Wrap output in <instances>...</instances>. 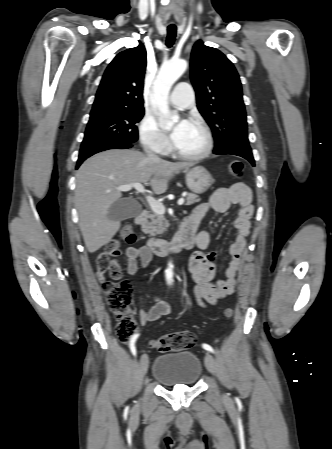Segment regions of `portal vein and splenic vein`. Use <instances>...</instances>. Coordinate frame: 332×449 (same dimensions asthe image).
I'll return each mask as SVG.
<instances>
[{
    "instance_id": "1",
    "label": "portal vein and splenic vein",
    "mask_w": 332,
    "mask_h": 449,
    "mask_svg": "<svg viewBox=\"0 0 332 449\" xmlns=\"http://www.w3.org/2000/svg\"><path fill=\"white\" fill-rule=\"evenodd\" d=\"M133 188L135 190H137L139 193L145 194V188L139 182L131 183V184H127V185H120V186L117 187V189L119 191H124V192L125 191H130ZM146 200H147L149 206L151 207V209L153 210V212H155L157 214H160V215L165 213V207L163 206L162 203L158 202L155 198H153L150 195H147L146 196ZM177 203H178V205H183L184 204V198H180Z\"/></svg>"
}]
</instances>
